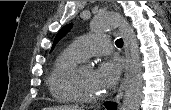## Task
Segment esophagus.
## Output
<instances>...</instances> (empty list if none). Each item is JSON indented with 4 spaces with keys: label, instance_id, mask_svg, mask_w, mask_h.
<instances>
[{
    "label": "esophagus",
    "instance_id": "esophagus-1",
    "mask_svg": "<svg viewBox=\"0 0 171 110\" xmlns=\"http://www.w3.org/2000/svg\"><path fill=\"white\" fill-rule=\"evenodd\" d=\"M114 8L117 10L118 7L116 4H114ZM124 48H125V56H126V61L128 62L129 60V48H128V42L127 40L125 39V45H124ZM123 90H124V83L122 82L120 87H119V90H118V94L117 96L115 97V100L114 102L116 104H120V99L122 98V95H123Z\"/></svg>",
    "mask_w": 171,
    "mask_h": 110
}]
</instances>
